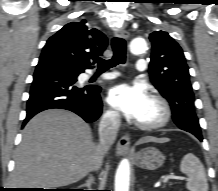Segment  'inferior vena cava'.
Wrapping results in <instances>:
<instances>
[{"label": "inferior vena cava", "mask_w": 218, "mask_h": 191, "mask_svg": "<svg viewBox=\"0 0 218 191\" xmlns=\"http://www.w3.org/2000/svg\"><path fill=\"white\" fill-rule=\"evenodd\" d=\"M120 124L121 119L118 112H107L102 116L99 124V144L97 145V154L93 170L100 168L104 155L108 152L116 139Z\"/></svg>", "instance_id": "obj_1"}]
</instances>
